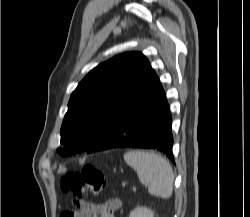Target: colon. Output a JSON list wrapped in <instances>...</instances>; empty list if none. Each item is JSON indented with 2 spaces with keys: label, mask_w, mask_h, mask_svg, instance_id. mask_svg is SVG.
Listing matches in <instances>:
<instances>
[{
  "label": "colon",
  "mask_w": 250,
  "mask_h": 217,
  "mask_svg": "<svg viewBox=\"0 0 250 217\" xmlns=\"http://www.w3.org/2000/svg\"><path fill=\"white\" fill-rule=\"evenodd\" d=\"M106 185V176L93 165H85L80 171L68 172L60 180L61 189L74 196L98 194ZM100 209L101 205L82 201L74 209L64 211L60 217H69L74 212L85 217H99Z\"/></svg>",
  "instance_id": "5ec220e1"
}]
</instances>
